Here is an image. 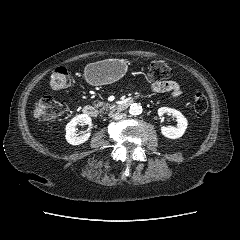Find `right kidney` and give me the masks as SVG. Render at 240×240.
I'll use <instances>...</instances> for the list:
<instances>
[{
    "label": "right kidney",
    "instance_id": "ca27d5eb",
    "mask_svg": "<svg viewBox=\"0 0 240 240\" xmlns=\"http://www.w3.org/2000/svg\"><path fill=\"white\" fill-rule=\"evenodd\" d=\"M91 117L86 114H79L71 119V121L66 125V141L71 145H80L86 142L90 133H85L81 136L76 134L75 127L77 124L91 125Z\"/></svg>",
    "mask_w": 240,
    "mask_h": 240
}]
</instances>
